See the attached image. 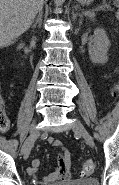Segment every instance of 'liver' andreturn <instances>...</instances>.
<instances>
[{"label": "liver", "instance_id": "6515ba94", "mask_svg": "<svg viewBox=\"0 0 119 185\" xmlns=\"http://www.w3.org/2000/svg\"><path fill=\"white\" fill-rule=\"evenodd\" d=\"M44 0H0V47L27 31Z\"/></svg>", "mask_w": 119, "mask_h": 185}]
</instances>
